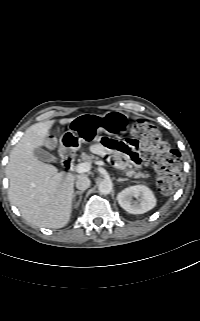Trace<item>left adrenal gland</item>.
Instances as JSON below:
<instances>
[{
    "mask_svg": "<svg viewBox=\"0 0 200 321\" xmlns=\"http://www.w3.org/2000/svg\"><path fill=\"white\" fill-rule=\"evenodd\" d=\"M123 181H128V179L127 178H118L117 179V182H123Z\"/></svg>",
    "mask_w": 200,
    "mask_h": 321,
    "instance_id": "left-adrenal-gland-1",
    "label": "left adrenal gland"
}]
</instances>
